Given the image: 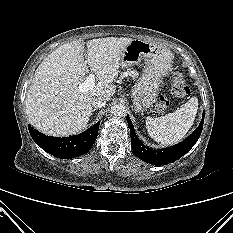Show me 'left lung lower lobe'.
<instances>
[{
    "mask_svg": "<svg viewBox=\"0 0 233 233\" xmlns=\"http://www.w3.org/2000/svg\"><path fill=\"white\" fill-rule=\"evenodd\" d=\"M127 122L130 128L131 147L135 155L141 160L152 165H166L173 163L185 155L198 141L204 124V112L202 120L197 129L185 140L177 145L165 149H153L145 146L137 137L132 121L127 115Z\"/></svg>",
    "mask_w": 233,
    "mask_h": 233,
    "instance_id": "obj_1",
    "label": "left lung lower lobe"
}]
</instances>
